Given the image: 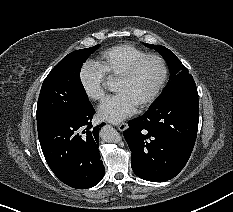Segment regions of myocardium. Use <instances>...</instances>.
Here are the masks:
<instances>
[{
    "label": "myocardium",
    "mask_w": 233,
    "mask_h": 212,
    "mask_svg": "<svg viewBox=\"0 0 233 212\" xmlns=\"http://www.w3.org/2000/svg\"><path fill=\"white\" fill-rule=\"evenodd\" d=\"M149 59H155L160 63L162 68V75L150 96L138 106L139 109H145L149 107L160 95L168 79L169 70L166 60L159 54H146L132 62L129 67L118 77L119 80H130L135 75L140 66Z\"/></svg>",
    "instance_id": "f54148a6"
}]
</instances>
